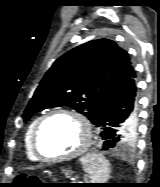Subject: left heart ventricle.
Masks as SVG:
<instances>
[{"mask_svg":"<svg viewBox=\"0 0 160 187\" xmlns=\"http://www.w3.org/2000/svg\"><path fill=\"white\" fill-rule=\"evenodd\" d=\"M84 138V128L78 119L69 115H57L43 126L39 146L47 156L63 155L77 149Z\"/></svg>","mask_w":160,"mask_h":187,"instance_id":"1","label":"left heart ventricle"}]
</instances>
